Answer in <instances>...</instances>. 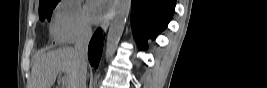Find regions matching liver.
Wrapping results in <instances>:
<instances>
[{"label":"liver","instance_id":"liver-1","mask_svg":"<svg viewBox=\"0 0 267 88\" xmlns=\"http://www.w3.org/2000/svg\"><path fill=\"white\" fill-rule=\"evenodd\" d=\"M59 73L66 75V88H74L78 63L73 49L60 48L38 57L32 66L30 88H51Z\"/></svg>","mask_w":267,"mask_h":88}]
</instances>
